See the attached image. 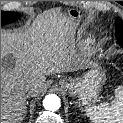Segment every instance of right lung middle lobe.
Here are the masks:
<instances>
[{
    "mask_svg": "<svg viewBox=\"0 0 123 123\" xmlns=\"http://www.w3.org/2000/svg\"><path fill=\"white\" fill-rule=\"evenodd\" d=\"M19 18H20V14L17 12L1 11V25L14 22Z\"/></svg>",
    "mask_w": 123,
    "mask_h": 123,
    "instance_id": "dd1d6c3e",
    "label": "right lung middle lobe"
}]
</instances>
